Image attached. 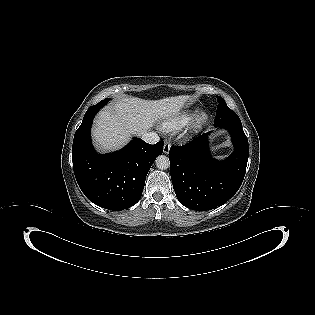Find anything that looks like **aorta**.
Here are the masks:
<instances>
[{
    "label": "aorta",
    "instance_id": "obj_1",
    "mask_svg": "<svg viewBox=\"0 0 315 315\" xmlns=\"http://www.w3.org/2000/svg\"><path fill=\"white\" fill-rule=\"evenodd\" d=\"M156 166L158 169L166 170L170 166L169 158L165 155H160L155 160Z\"/></svg>",
    "mask_w": 315,
    "mask_h": 315
}]
</instances>
